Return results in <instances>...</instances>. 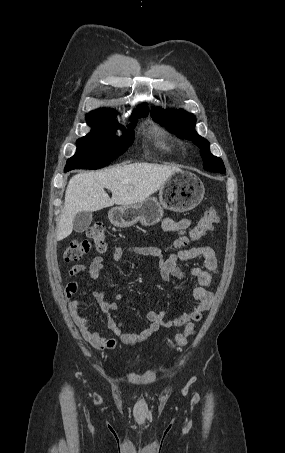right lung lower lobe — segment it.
I'll list each match as a JSON object with an SVG mask.
<instances>
[{"label": "right lung lower lobe", "mask_w": 285, "mask_h": 453, "mask_svg": "<svg viewBox=\"0 0 285 453\" xmlns=\"http://www.w3.org/2000/svg\"><path fill=\"white\" fill-rule=\"evenodd\" d=\"M64 171L66 172V171H70V170H69V169H67V168H65V169H64Z\"/></svg>", "instance_id": "obj_1"}]
</instances>
